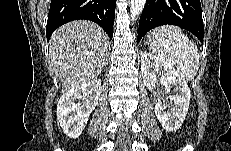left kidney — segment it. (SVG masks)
<instances>
[{
    "label": "left kidney",
    "mask_w": 231,
    "mask_h": 151,
    "mask_svg": "<svg viewBox=\"0 0 231 151\" xmlns=\"http://www.w3.org/2000/svg\"><path fill=\"white\" fill-rule=\"evenodd\" d=\"M141 72L147 87L155 88L159 82L166 92L173 89L168 96L171 106L159 100L155 105V114L167 131L178 130L187 115L191 97L186 81L167 62L147 52L141 55Z\"/></svg>",
    "instance_id": "obj_1"
}]
</instances>
